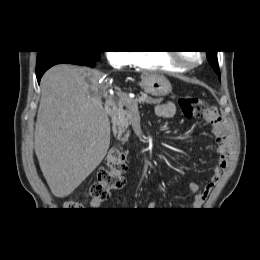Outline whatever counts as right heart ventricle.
I'll use <instances>...</instances> for the list:
<instances>
[{"label": "right heart ventricle", "instance_id": "e07e8e85", "mask_svg": "<svg viewBox=\"0 0 260 260\" xmlns=\"http://www.w3.org/2000/svg\"><path fill=\"white\" fill-rule=\"evenodd\" d=\"M133 65L147 70L180 73L183 69L176 67L163 51L139 50L133 53Z\"/></svg>", "mask_w": 260, "mask_h": 260}]
</instances>
